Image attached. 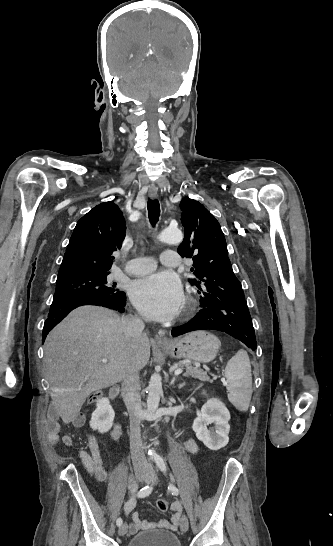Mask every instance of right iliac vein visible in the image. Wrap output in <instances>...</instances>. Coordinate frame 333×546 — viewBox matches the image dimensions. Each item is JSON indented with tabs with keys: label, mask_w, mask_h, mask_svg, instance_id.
Returning a JSON list of instances; mask_svg holds the SVG:
<instances>
[{
	"label": "right iliac vein",
	"mask_w": 333,
	"mask_h": 546,
	"mask_svg": "<svg viewBox=\"0 0 333 546\" xmlns=\"http://www.w3.org/2000/svg\"><path fill=\"white\" fill-rule=\"evenodd\" d=\"M135 474L138 481L145 482L147 480V474L145 471L139 470ZM127 530H128V525L124 523L119 527L118 533L120 536H124Z\"/></svg>",
	"instance_id": "right-iliac-vein-1"
}]
</instances>
